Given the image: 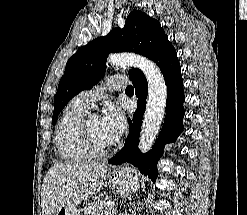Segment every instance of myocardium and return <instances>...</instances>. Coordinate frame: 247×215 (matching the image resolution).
Listing matches in <instances>:
<instances>
[{"mask_svg":"<svg viewBox=\"0 0 247 215\" xmlns=\"http://www.w3.org/2000/svg\"><path fill=\"white\" fill-rule=\"evenodd\" d=\"M87 122L88 120H83L79 126L82 143L92 157H102L111 151L113 145H99L88 130Z\"/></svg>","mask_w":247,"mask_h":215,"instance_id":"obj_1","label":"myocardium"}]
</instances>
